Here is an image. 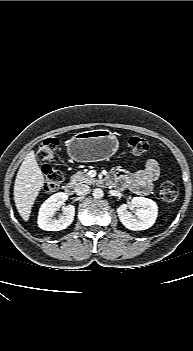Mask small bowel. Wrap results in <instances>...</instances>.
<instances>
[{
    "mask_svg": "<svg viewBox=\"0 0 193 351\" xmlns=\"http://www.w3.org/2000/svg\"><path fill=\"white\" fill-rule=\"evenodd\" d=\"M159 175L160 168L158 162L153 158H149L146 160L143 169L130 175H120L113 182L120 188L128 189L139 195H146L153 188Z\"/></svg>",
    "mask_w": 193,
    "mask_h": 351,
    "instance_id": "obj_1",
    "label": "small bowel"
}]
</instances>
